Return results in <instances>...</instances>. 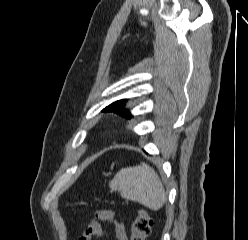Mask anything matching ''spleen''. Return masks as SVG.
<instances>
[{
    "label": "spleen",
    "instance_id": "3e777b00",
    "mask_svg": "<svg viewBox=\"0 0 248 240\" xmlns=\"http://www.w3.org/2000/svg\"><path fill=\"white\" fill-rule=\"evenodd\" d=\"M109 187L122 198L136 201L151 210L158 211L166 201V193L155 170L147 165L121 169L110 181Z\"/></svg>",
    "mask_w": 248,
    "mask_h": 240
}]
</instances>
